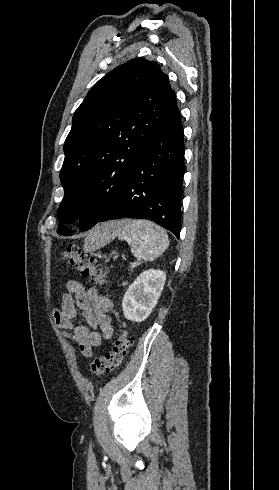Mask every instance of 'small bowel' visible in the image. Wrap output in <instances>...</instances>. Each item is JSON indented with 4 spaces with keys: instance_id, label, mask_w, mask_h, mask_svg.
Segmentation results:
<instances>
[{
    "instance_id": "c3829d8e",
    "label": "small bowel",
    "mask_w": 279,
    "mask_h": 490,
    "mask_svg": "<svg viewBox=\"0 0 279 490\" xmlns=\"http://www.w3.org/2000/svg\"><path fill=\"white\" fill-rule=\"evenodd\" d=\"M67 292L61 296V308L53 311V319L64 338L75 343L85 357L102 341L111 339L113 327L108 315L112 302L96 288H85L75 280L66 282ZM81 311L86 325H73L72 321Z\"/></svg>"
}]
</instances>
